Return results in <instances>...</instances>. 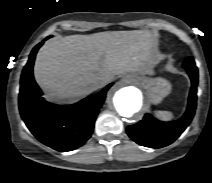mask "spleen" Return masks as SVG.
Listing matches in <instances>:
<instances>
[{"label":"spleen","mask_w":212,"mask_h":183,"mask_svg":"<svg viewBox=\"0 0 212 183\" xmlns=\"http://www.w3.org/2000/svg\"><path fill=\"white\" fill-rule=\"evenodd\" d=\"M155 114H156V116L158 118H160L162 120H165V121L170 120V119L173 118V114L171 112H169V111H161V110H159V111H155Z\"/></svg>","instance_id":"obj_1"}]
</instances>
